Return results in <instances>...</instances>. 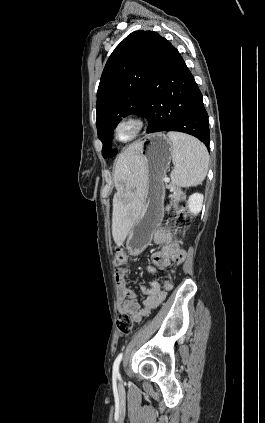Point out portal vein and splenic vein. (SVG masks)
<instances>
[{
    "label": "portal vein and splenic vein",
    "mask_w": 265,
    "mask_h": 423,
    "mask_svg": "<svg viewBox=\"0 0 265 423\" xmlns=\"http://www.w3.org/2000/svg\"><path fill=\"white\" fill-rule=\"evenodd\" d=\"M170 179L168 177L165 178V182H169Z\"/></svg>",
    "instance_id": "portal-vein-and-splenic-vein-1"
}]
</instances>
